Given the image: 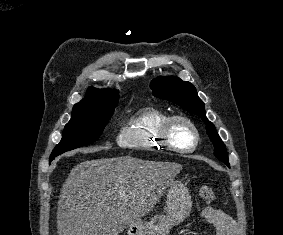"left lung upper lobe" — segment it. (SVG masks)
<instances>
[{
  "instance_id": "1",
  "label": "left lung upper lobe",
  "mask_w": 283,
  "mask_h": 235,
  "mask_svg": "<svg viewBox=\"0 0 283 235\" xmlns=\"http://www.w3.org/2000/svg\"><path fill=\"white\" fill-rule=\"evenodd\" d=\"M150 87L154 96L171 101L183 109L199 116L207 125V133L214 144L215 156L229 166L225 144L219 137L213 123L205 114L204 103L198 97L195 87L178 77H159L154 79Z\"/></svg>"
}]
</instances>
